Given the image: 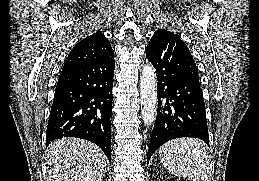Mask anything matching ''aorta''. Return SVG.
Segmentation results:
<instances>
[{
	"instance_id": "obj_1",
	"label": "aorta",
	"mask_w": 259,
	"mask_h": 181,
	"mask_svg": "<svg viewBox=\"0 0 259 181\" xmlns=\"http://www.w3.org/2000/svg\"><path fill=\"white\" fill-rule=\"evenodd\" d=\"M141 115L146 126H151L157 110V81L155 68L146 64L140 74Z\"/></svg>"
}]
</instances>
